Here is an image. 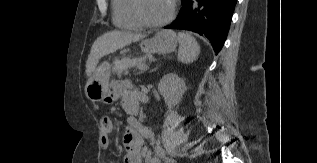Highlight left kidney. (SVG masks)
I'll use <instances>...</instances> for the list:
<instances>
[{"label":"left kidney","instance_id":"left-kidney-1","mask_svg":"<svg viewBox=\"0 0 317 163\" xmlns=\"http://www.w3.org/2000/svg\"><path fill=\"white\" fill-rule=\"evenodd\" d=\"M185 90V81L175 73L164 75L158 84V91L163 96L168 111H171L181 101Z\"/></svg>","mask_w":317,"mask_h":163}]
</instances>
